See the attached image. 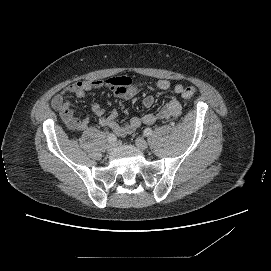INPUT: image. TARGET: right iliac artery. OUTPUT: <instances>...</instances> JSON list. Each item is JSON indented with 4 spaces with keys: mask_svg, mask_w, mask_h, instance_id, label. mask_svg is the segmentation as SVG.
Instances as JSON below:
<instances>
[{
    "mask_svg": "<svg viewBox=\"0 0 271 271\" xmlns=\"http://www.w3.org/2000/svg\"><path fill=\"white\" fill-rule=\"evenodd\" d=\"M107 140H108V142H115V141H116V136H115V134L110 133V134L108 135V137H107Z\"/></svg>",
    "mask_w": 271,
    "mask_h": 271,
    "instance_id": "82829eb1",
    "label": "right iliac artery"
}]
</instances>
